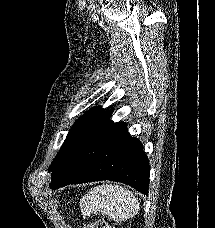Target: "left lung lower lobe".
Listing matches in <instances>:
<instances>
[{
    "mask_svg": "<svg viewBox=\"0 0 215 228\" xmlns=\"http://www.w3.org/2000/svg\"><path fill=\"white\" fill-rule=\"evenodd\" d=\"M149 172V160L139 139L128 134L125 123L107 119L77 148L49 186L55 190L69 184L111 180L147 195Z\"/></svg>",
    "mask_w": 215,
    "mask_h": 228,
    "instance_id": "1",
    "label": "left lung lower lobe"
}]
</instances>
